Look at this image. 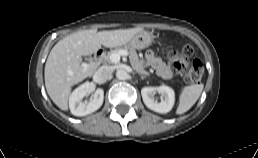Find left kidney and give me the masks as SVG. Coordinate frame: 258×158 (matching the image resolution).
<instances>
[{
	"mask_svg": "<svg viewBox=\"0 0 258 158\" xmlns=\"http://www.w3.org/2000/svg\"><path fill=\"white\" fill-rule=\"evenodd\" d=\"M162 95V100L157 102L155 100V93ZM141 95L144 104L151 110L165 114L169 112L175 103V93L172 88L166 85H161L159 87H144L141 90Z\"/></svg>",
	"mask_w": 258,
	"mask_h": 158,
	"instance_id": "left-kidney-1",
	"label": "left kidney"
}]
</instances>
